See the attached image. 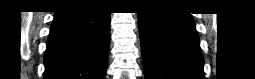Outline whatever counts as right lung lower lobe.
<instances>
[{
    "label": "right lung lower lobe",
    "mask_w": 255,
    "mask_h": 79,
    "mask_svg": "<svg viewBox=\"0 0 255 79\" xmlns=\"http://www.w3.org/2000/svg\"><path fill=\"white\" fill-rule=\"evenodd\" d=\"M110 13L89 6L55 12L44 58V79H104Z\"/></svg>",
    "instance_id": "right-lung-lower-lobe-1"
}]
</instances>
